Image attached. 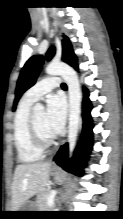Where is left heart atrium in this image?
Here are the masks:
<instances>
[{
    "mask_svg": "<svg viewBox=\"0 0 123 219\" xmlns=\"http://www.w3.org/2000/svg\"><path fill=\"white\" fill-rule=\"evenodd\" d=\"M46 123L55 136L59 134L66 121V103L64 99L59 95H52L47 100L46 108Z\"/></svg>",
    "mask_w": 123,
    "mask_h": 219,
    "instance_id": "obj_1",
    "label": "left heart atrium"
}]
</instances>
